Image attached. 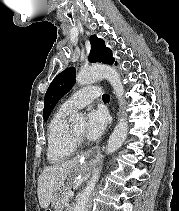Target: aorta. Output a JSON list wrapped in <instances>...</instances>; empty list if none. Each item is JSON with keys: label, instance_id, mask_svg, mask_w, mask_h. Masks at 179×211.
Wrapping results in <instances>:
<instances>
[{"label": "aorta", "instance_id": "obj_1", "mask_svg": "<svg viewBox=\"0 0 179 211\" xmlns=\"http://www.w3.org/2000/svg\"><path fill=\"white\" fill-rule=\"evenodd\" d=\"M103 78L107 79L112 85L120 107L123 109L124 87L122 85L120 74L116 69L102 64L82 69L76 75V83L79 85H88ZM122 113L123 116L119 119L107 142V153L115 152L126 140L128 134V122L124 116V111H122ZM71 121L76 126H83L85 123L84 116L79 113L73 115ZM100 171L101 168L94 169L91 179L87 182L85 189L77 199L74 211H85L90 195L99 179Z\"/></svg>", "mask_w": 179, "mask_h": 211}]
</instances>
